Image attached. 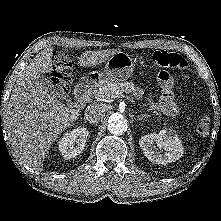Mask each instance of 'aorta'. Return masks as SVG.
<instances>
[{"label":"aorta","instance_id":"obj_1","mask_svg":"<svg viewBox=\"0 0 221 221\" xmlns=\"http://www.w3.org/2000/svg\"><path fill=\"white\" fill-rule=\"evenodd\" d=\"M127 119L120 114L114 113L108 119V131L114 135H121L127 131Z\"/></svg>","mask_w":221,"mask_h":221}]
</instances>
